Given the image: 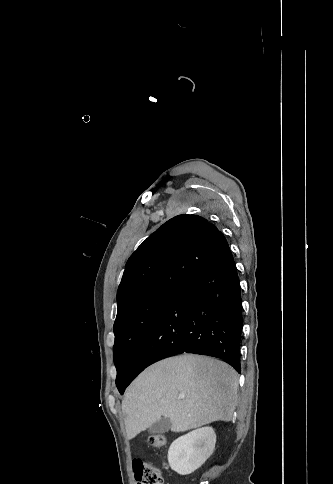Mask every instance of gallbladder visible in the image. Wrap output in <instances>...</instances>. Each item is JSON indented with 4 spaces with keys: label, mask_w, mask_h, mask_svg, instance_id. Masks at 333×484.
I'll use <instances>...</instances> for the list:
<instances>
[{
    "label": "gallbladder",
    "mask_w": 333,
    "mask_h": 484,
    "mask_svg": "<svg viewBox=\"0 0 333 484\" xmlns=\"http://www.w3.org/2000/svg\"><path fill=\"white\" fill-rule=\"evenodd\" d=\"M170 429H171L170 419L162 418L150 426L149 432L153 434H163V433H167Z\"/></svg>",
    "instance_id": "obj_1"
}]
</instances>
